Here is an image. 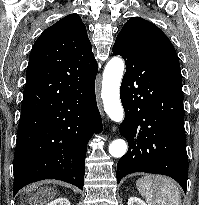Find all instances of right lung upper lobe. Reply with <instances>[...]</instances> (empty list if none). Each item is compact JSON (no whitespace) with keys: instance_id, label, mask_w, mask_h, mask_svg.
I'll return each instance as SVG.
<instances>
[{"instance_id":"cb5924a9","label":"right lung upper lobe","mask_w":199,"mask_h":205,"mask_svg":"<svg viewBox=\"0 0 199 205\" xmlns=\"http://www.w3.org/2000/svg\"><path fill=\"white\" fill-rule=\"evenodd\" d=\"M97 62L78 14H69L50 26L32 47L26 85L41 83L35 91L24 89L21 117L50 105L70 92L77 83L96 77Z\"/></svg>"}]
</instances>
